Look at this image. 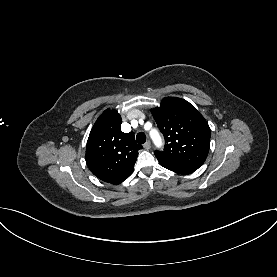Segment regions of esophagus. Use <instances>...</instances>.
<instances>
[{
    "label": "esophagus",
    "mask_w": 277,
    "mask_h": 277,
    "mask_svg": "<svg viewBox=\"0 0 277 277\" xmlns=\"http://www.w3.org/2000/svg\"><path fill=\"white\" fill-rule=\"evenodd\" d=\"M143 147H144V149L149 150V149L151 148V143H150V141H146V142L144 143Z\"/></svg>",
    "instance_id": "1"
}]
</instances>
